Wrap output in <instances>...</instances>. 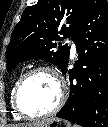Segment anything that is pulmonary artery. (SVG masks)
<instances>
[{"label": "pulmonary artery", "mask_w": 108, "mask_h": 127, "mask_svg": "<svg viewBox=\"0 0 108 127\" xmlns=\"http://www.w3.org/2000/svg\"><path fill=\"white\" fill-rule=\"evenodd\" d=\"M76 53V45L73 41H71V54L74 56Z\"/></svg>", "instance_id": "obj_1"}]
</instances>
